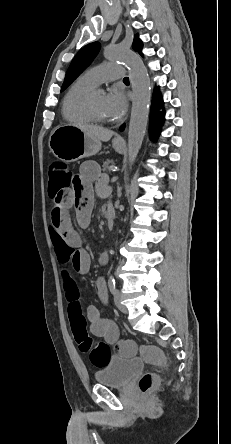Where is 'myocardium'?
Masks as SVG:
<instances>
[{"label":"myocardium","mask_w":231,"mask_h":444,"mask_svg":"<svg viewBox=\"0 0 231 444\" xmlns=\"http://www.w3.org/2000/svg\"><path fill=\"white\" fill-rule=\"evenodd\" d=\"M95 93L96 92H92L88 98V101H87V110L89 112V115L91 116V118L93 119L94 122L103 123V124L111 123L112 120L106 119V118L100 116L98 114V112L96 111V108L94 106V101H93V97H94Z\"/></svg>","instance_id":"obj_1"}]
</instances>
